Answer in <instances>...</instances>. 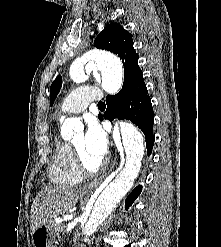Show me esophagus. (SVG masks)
Listing matches in <instances>:
<instances>
[{
  "instance_id": "obj_1",
  "label": "esophagus",
  "mask_w": 221,
  "mask_h": 247,
  "mask_svg": "<svg viewBox=\"0 0 221 247\" xmlns=\"http://www.w3.org/2000/svg\"><path fill=\"white\" fill-rule=\"evenodd\" d=\"M100 181H101V178L94 179L92 182H90L89 184L85 185V186L82 188L81 191H82L83 193H87V192L92 191L94 188H96V187L100 184Z\"/></svg>"
}]
</instances>
